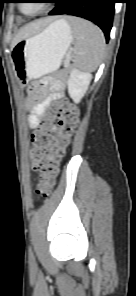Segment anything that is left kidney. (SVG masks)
I'll use <instances>...</instances> for the list:
<instances>
[{"label":"left kidney","instance_id":"left-kidney-1","mask_svg":"<svg viewBox=\"0 0 136 296\" xmlns=\"http://www.w3.org/2000/svg\"><path fill=\"white\" fill-rule=\"evenodd\" d=\"M92 75L78 69H73L68 79V93L72 100L78 104L88 90Z\"/></svg>","mask_w":136,"mask_h":296}]
</instances>
